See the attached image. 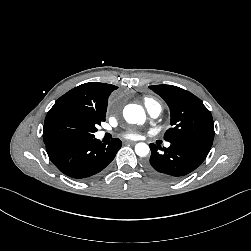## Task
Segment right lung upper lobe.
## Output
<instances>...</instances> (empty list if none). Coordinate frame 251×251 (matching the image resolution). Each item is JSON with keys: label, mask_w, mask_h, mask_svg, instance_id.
Returning <instances> with one entry per match:
<instances>
[{"label": "right lung upper lobe", "mask_w": 251, "mask_h": 251, "mask_svg": "<svg viewBox=\"0 0 251 251\" xmlns=\"http://www.w3.org/2000/svg\"><path fill=\"white\" fill-rule=\"evenodd\" d=\"M117 88L114 85L99 82L85 83L61 96L54 105L76 104L106 114L108 97Z\"/></svg>", "instance_id": "1"}]
</instances>
